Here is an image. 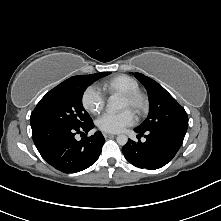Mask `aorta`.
Here are the masks:
<instances>
[{
	"mask_svg": "<svg viewBox=\"0 0 221 221\" xmlns=\"http://www.w3.org/2000/svg\"><path fill=\"white\" fill-rule=\"evenodd\" d=\"M122 108H123V105L118 98L111 96L108 99V102L106 105V111L108 113H115V112L121 110ZM116 140L119 145L124 146L128 142V137L126 135L122 134V135L117 136Z\"/></svg>",
	"mask_w": 221,
	"mask_h": 221,
	"instance_id": "762f6f07",
	"label": "aorta"
}]
</instances>
